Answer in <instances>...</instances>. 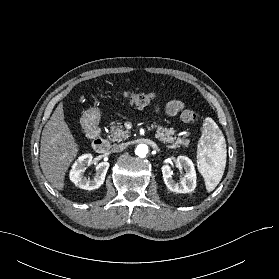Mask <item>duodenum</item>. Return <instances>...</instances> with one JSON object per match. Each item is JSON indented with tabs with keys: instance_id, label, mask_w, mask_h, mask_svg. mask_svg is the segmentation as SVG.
Segmentation results:
<instances>
[{
	"instance_id": "duodenum-1",
	"label": "duodenum",
	"mask_w": 279,
	"mask_h": 279,
	"mask_svg": "<svg viewBox=\"0 0 279 279\" xmlns=\"http://www.w3.org/2000/svg\"><path fill=\"white\" fill-rule=\"evenodd\" d=\"M87 135L92 139V147L97 153H104L109 149V142L101 135L100 128L92 123L88 122L85 125Z\"/></svg>"
}]
</instances>
